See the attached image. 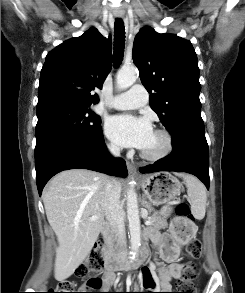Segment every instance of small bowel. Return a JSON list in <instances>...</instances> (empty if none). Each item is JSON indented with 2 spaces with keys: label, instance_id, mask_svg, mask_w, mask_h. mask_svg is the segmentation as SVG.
I'll use <instances>...</instances> for the list:
<instances>
[{
  "label": "small bowel",
  "instance_id": "small-bowel-1",
  "mask_svg": "<svg viewBox=\"0 0 245 293\" xmlns=\"http://www.w3.org/2000/svg\"><path fill=\"white\" fill-rule=\"evenodd\" d=\"M146 237L151 240L155 249V265L145 266L140 270L142 285L144 288H152V280L155 277V269L159 273V286L163 291H169L172 287L173 280L182 275L184 266L181 263L175 262L182 244L186 242L185 238L177 239L171 232L158 233L155 231H147ZM158 257L169 265L164 266L158 262ZM116 283V276L113 272H108L104 276L103 289H109ZM128 284L131 282L128 280ZM168 293V292H163Z\"/></svg>",
  "mask_w": 245,
  "mask_h": 293
}]
</instances>
